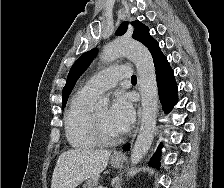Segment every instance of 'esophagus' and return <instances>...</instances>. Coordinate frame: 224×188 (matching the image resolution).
Segmentation results:
<instances>
[{"instance_id":"34e87169","label":"esophagus","mask_w":224,"mask_h":188,"mask_svg":"<svg viewBox=\"0 0 224 188\" xmlns=\"http://www.w3.org/2000/svg\"><path fill=\"white\" fill-rule=\"evenodd\" d=\"M140 116H141V107H140V104H139V105H138V122H137V126H136V128H135V130H134V133H133V135H132V140H131V142L134 141V138H135L136 135H137V132H138V129H139V124H140ZM114 157L122 158V157H124V155H123L121 152H116V153L114 154Z\"/></svg>"}]
</instances>
